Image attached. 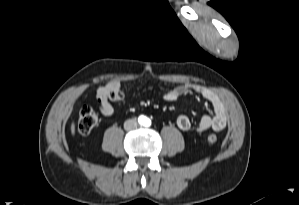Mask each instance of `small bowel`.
<instances>
[{"label":"small bowel","instance_id":"c3829d8e","mask_svg":"<svg viewBox=\"0 0 299 205\" xmlns=\"http://www.w3.org/2000/svg\"><path fill=\"white\" fill-rule=\"evenodd\" d=\"M121 87V81L111 80L105 85L98 88V105L103 115L111 116L114 113V107L111 102L107 100V96L113 91L120 90ZM189 92L200 94L212 105L213 108V113L211 115H204L198 121L195 127L196 131L199 133L205 132L208 129L222 131L226 127L227 123V110L221 97L213 90L200 84L187 83L169 89L164 94V99L169 102L176 101ZM176 124L182 131H188L192 127V122L187 115H180L176 120Z\"/></svg>","mask_w":299,"mask_h":205}]
</instances>
